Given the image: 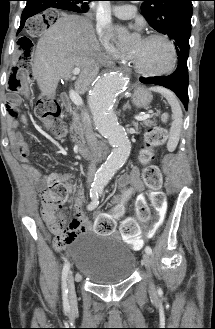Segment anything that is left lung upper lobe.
Instances as JSON below:
<instances>
[{
  "label": "left lung upper lobe",
  "instance_id": "5c2ea615",
  "mask_svg": "<svg viewBox=\"0 0 215 329\" xmlns=\"http://www.w3.org/2000/svg\"><path fill=\"white\" fill-rule=\"evenodd\" d=\"M142 1V14L150 26L174 41L178 56L188 55L193 0Z\"/></svg>",
  "mask_w": 215,
  "mask_h": 329
}]
</instances>
